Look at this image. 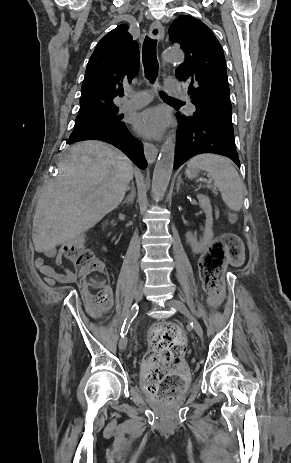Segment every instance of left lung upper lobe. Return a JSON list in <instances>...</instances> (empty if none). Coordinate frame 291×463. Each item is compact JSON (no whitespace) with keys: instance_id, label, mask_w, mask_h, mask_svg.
I'll use <instances>...</instances> for the list:
<instances>
[{"instance_id":"5c2ea615","label":"left lung upper lobe","mask_w":291,"mask_h":463,"mask_svg":"<svg viewBox=\"0 0 291 463\" xmlns=\"http://www.w3.org/2000/svg\"><path fill=\"white\" fill-rule=\"evenodd\" d=\"M169 37L185 52L175 74L189 85L196 106L188 117L233 129L226 61L217 38L200 20L186 15L172 23Z\"/></svg>"}]
</instances>
